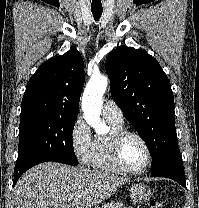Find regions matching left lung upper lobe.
<instances>
[{"mask_svg": "<svg viewBox=\"0 0 199 208\" xmlns=\"http://www.w3.org/2000/svg\"><path fill=\"white\" fill-rule=\"evenodd\" d=\"M111 96L146 142L154 167L178 148L170 81L145 50L120 46L106 62Z\"/></svg>", "mask_w": 199, "mask_h": 208, "instance_id": "obj_1", "label": "left lung upper lobe"}]
</instances>
